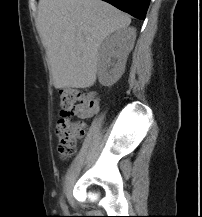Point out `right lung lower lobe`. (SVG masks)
<instances>
[{
  "label": "right lung lower lobe",
  "mask_w": 202,
  "mask_h": 217,
  "mask_svg": "<svg viewBox=\"0 0 202 217\" xmlns=\"http://www.w3.org/2000/svg\"><path fill=\"white\" fill-rule=\"evenodd\" d=\"M135 18L144 20L150 0H103Z\"/></svg>",
  "instance_id": "obj_1"
}]
</instances>
